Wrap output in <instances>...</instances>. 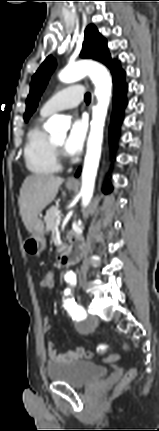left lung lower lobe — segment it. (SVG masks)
Wrapping results in <instances>:
<instances>
[{
  "label": "left lung lower lobe",
  "instance_id": "obj_1",
  "mask_svg": "<svg viewBox=\"0 0 159 431\" xmlns=\"http://www.w3.org/2000/svg\"><path fill=\"white\" fill-rule=\"evenodd\" d=\"M113 83H114V99H113V115H112V123L110 126V136H111V145L114 149L116 139L119 133L120 123L123 119L122 111L127 104V100L125 97L127 91V85L124 82L125 71L119 68L113 74ZM81 169H78L76 172V177L80 175ZM112 190V187L109 183L105 185L104 193H108Z\"/></svg>",
  "mask_w": 159,
  "mask_h": 431
}]
</instances>
